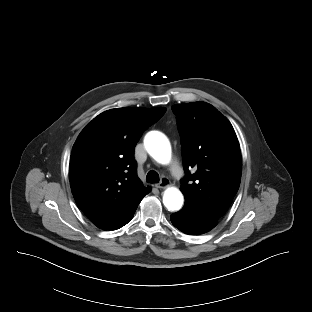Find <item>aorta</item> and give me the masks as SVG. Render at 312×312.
<instances>
[{
  "label": "aorta",
  "mask_w": 312,
  "mask_h": 312,
  "mask_svg": "<svg viewBox=\"0 0 312 312\" xmlns=\"http://www.w3.org/2000/svg\"><path fill=\"white\" fill-rule=\"evenodd\" d=\"M147 152L159 163L166 164L171 158V146L167 137L158 132H149L144 139ZM183 195L177 188L170 187L165 190L163 203L169 211H177L183 205Z\"/></svg>",
  "instance_id": "762f6f07"
}]
</instances>
